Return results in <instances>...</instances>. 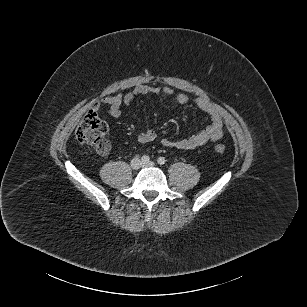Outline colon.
I'll return each mask as SVG.
<instances>
[{
  "mask_svg": "<svg viewBox=\"0 0 307 307\" xmlns=\"http://www.w3.org/2000/svg\"><path fill=\"white\" fill-rule=\"evenodd\" d=\"M106 134L107 126L95 110L86 113L76 131L77 139L83 144L92 146L99 154H107L110 151L111 145ZM215 151L223 154L225 147L222 144H216Z\"/></svg>",
  "mask_w": 307,
  "mask_h": 307,
  "instance_id": "5ec220e1",
  "label": "colon"
}]
</instances>
